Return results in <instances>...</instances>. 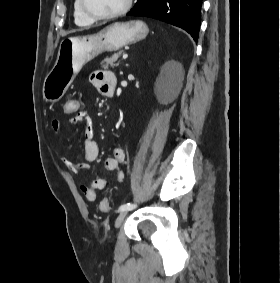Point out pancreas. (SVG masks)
<instances>
[{
    "label": "pancreas",
    "instance_id": "obj_1",
    "mask_svg": "<svg viewBox=\"0 0 280 283\" xmlns=\"http://www.w3.org/2000/svg\"><path fill=\"white\" fill-rule=\"evenodd\" d=\"M123 54V51H119L117 53H114L112 56L110 57H106L104 60L101 61V66L104 69H108L111 67H116L118 66V63H116V61L118 60V58Z\"/></svg>",
    "mask_w": 280,
    "mask_h": 283
}]
</instances>
